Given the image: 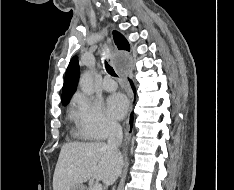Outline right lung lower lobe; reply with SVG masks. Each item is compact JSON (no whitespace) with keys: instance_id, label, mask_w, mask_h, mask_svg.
I'll return each instance as SVG.
<instances>
[{"instance_id":"1","label":"right lung lower lobe","mask_w":234,"mask_h":190,"mask_svg":"<svg viewBox=\"0 0 234 190\" xmlns=\"http://www.w3.org/2000/svg\"><path fill=\"white\" fill-rule=\"evenodd\" d=\"M130 83H131L132 88H133V90H134V92H135V89H134V87H133V83H132V81H130ZM132 122H133V118L131 117V119H130V125H131V126H132Z\"/></svg>"}]
</instances>
